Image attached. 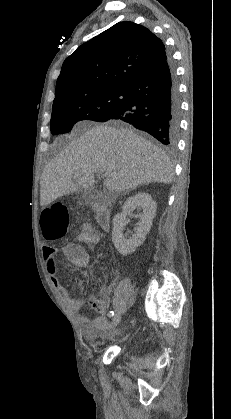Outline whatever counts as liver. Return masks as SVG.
Masks as SVG:
<instances>
[{
	"label": "liver",
	"mask_w": 231,
	"mask_h": 419,
	"mask_svg": "<svg viewBox=\"0 0 231 419\" xmlns=\"http://www.w3.org/2000/svg\"><path fill=\"white\" fill-rule=\"evenodd\" d=\"M98 172L108 174L103 184L114 192L173 180L171 163L158 146L127 128L100 124L71 141L46 165L40 180V204L48 206L66 194L92 188ZM75 173L79 177L74 181Z\"/></svg>",
	"instance_id": "obj_1"
}]
</instances>
